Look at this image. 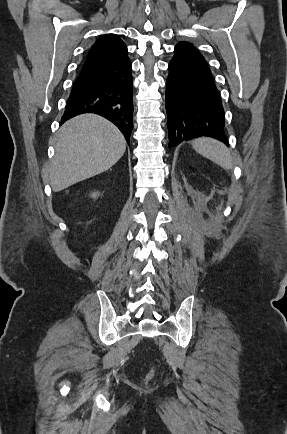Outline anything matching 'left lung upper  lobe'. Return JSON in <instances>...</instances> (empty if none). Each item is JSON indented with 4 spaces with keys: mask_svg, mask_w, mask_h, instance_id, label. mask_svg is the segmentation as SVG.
<instances>
[{
    "mask_svg": "<svg viewBox=\"0 0 287 434\" xmlns=\"http://www.w3.org/2000/svg\"><path fill=\"white\" fill-rule=\"evenodd\" d=\"M175 53L203 58V56L188 42H179L175 47Z\"/></svg>",
    "mask_w": 287,
    "mask_h": 434,
    "instance_id": "left-lung-upper-lobe-1",
    "label": "left lung upper lobe"
}]
</instances>
